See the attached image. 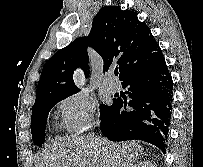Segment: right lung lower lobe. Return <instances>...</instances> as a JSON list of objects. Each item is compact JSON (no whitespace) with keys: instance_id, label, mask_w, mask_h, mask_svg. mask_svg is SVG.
<instances>
[{"instance_id":"98d812e1","label":"right lung lower lobe","mask_w":203,"mask_h":167,"mask_svg":"<svg viewBox=\"0 0 203 167\" xmlns=\"http://www.w3.org/2000/svg\"><path fill=\"white\" fill-rule=\"evenodd\" d=\"M122 86L128 87L131 100L127 103L121 98L113 99L101 119L102 134L111 141L144 140L165 153L173 101V81L165 59L126 77Z\"/></svg>"}]
</instances>
